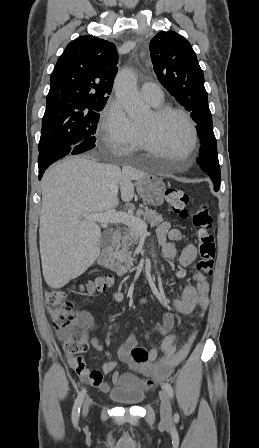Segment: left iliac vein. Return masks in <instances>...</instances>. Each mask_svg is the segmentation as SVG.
Instances as JSON below:
<instances>
[{"mask_svg":"<svg viewBox=\"0 0 259 448\" xmlns=\"http://www.w3.org/2000/svg\"><path fill=\"white\" fill-rule=\"evenodd\" d=\"M159 396H160V400H161V405H160L161 419L163 422L169 423L171 421V415H172L170 399L168 397L167 392L164 390H161L159 392Z\"/></svg>","mask_w":259,"mask_h":448,"instance_id":"obj_1","label":"left iliac vein"}]
</instances>
